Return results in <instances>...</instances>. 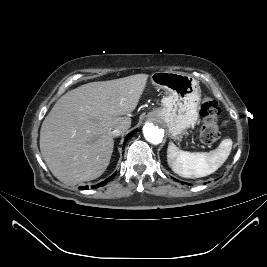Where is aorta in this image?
I'll use <instances>...</instances> for the list:
<instances>
[{
	"mask_svg": "<svg viewBox=\"0 0 267 267\" xmlns=\"http://www.w3.org/2000/svg\"><path fill=\"white\" fill-rule=\"evenodd\" d=\"M143 134L145 139L152 144H159L162 142L164 132L152 122H148L143 127Z\"/></svg>",
	"mask_w": 267,
	"mask_h": 267,
	"instance_id": "762f6f07",
	"label": "aorta"
}]
</instances>
